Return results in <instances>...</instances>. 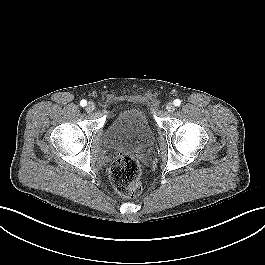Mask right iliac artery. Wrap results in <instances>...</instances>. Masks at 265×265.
<instances>
[{
    "label": "right iliac artery",
    "instance_id": "1",
    "mask_svg": "<svg viewBox=\"0 0 265 265\" xmlns=\"http://www.w3.org/2000/svg\"><path fill=\"white\" fill-rule=\"evenodd\" d=\"M80 105L82 107H85L87 105V101L86 100H81Z\"/></svg>",
    "mask_w": 265,
    "mask_h": 265
}]
</instances>
